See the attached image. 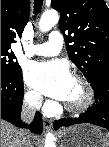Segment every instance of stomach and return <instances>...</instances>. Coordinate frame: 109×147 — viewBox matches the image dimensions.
Masks as SVG:
<instances>
[{
	"instance_id": "0dacf381",
	"label": "stomach",
	"mask_w": 109,
	"mask_h": 147,
	"mask_svg": "<svg viewBox=\"0 0 109 147\" xmlns=\"http://www.w3.org/2000/svg\"><path fill=\"white\" fill-rule=\"evenodd\" d=\"M63 147H108L109 135L100 127L78 124L59 132Z\"/></svg>"
}]
</instances>
